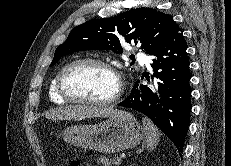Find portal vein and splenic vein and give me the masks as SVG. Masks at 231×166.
Here are the masks:
<instances>
[{"label":"portal vein and splenic vein","instance_id":"1","mask_svg":"<svg viewBox=\"0 0 231 166\" xmlns=\"http://www.w3.org/2000/svg\"><path fill=\"white\" fill-rule=\"evenodd\" d=\"M124 156H120L117 158V161H121V159L123 158Z\"/></svg>","mask_w":231,"mask_h":166}]
</instances>
